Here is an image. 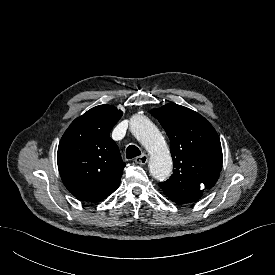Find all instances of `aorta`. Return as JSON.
I'll return each mask as SVG.
<instances>
[{"instance_id": "aorta-1", "label": "aorta", "mask_w": 275, "mask_h": 275, "mask_svg": "<svg viewBox=\"0 0 275 275\" xmlns=\"http://www.w3.org/2000/svg\"><path fill=\"white\" fill-rule=\"evenodd\" d=\"M130 130L150 155L152 176L159 181L166 180L172 172V158L158 128L146 116L135 115L130 120Z\"/></svg>"}]
</instances>
